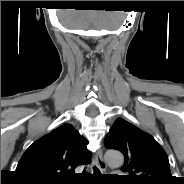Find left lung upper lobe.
Here are the masks:
<instances>
[{
    "label": "left lung upper lobe",
    "mask_w": 184,
    "mask_h": 184,
    "mask_svg": "<svg viewBox=\"0 0 184 184\" xmlns=\"http://www.w3.org/2000/svg\"><path fill=\"white\" fill-rule=\"evenodd\" d=\"M104 145L123 153L125 162L122 171L132 184H171L167 154L149 134L128 121L117 118L106 135Z\"/></svg>",
    "instance_id": "left-lung-upper-lobe-1"
}]
</instances>
